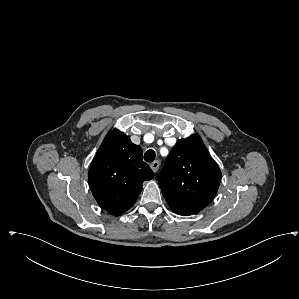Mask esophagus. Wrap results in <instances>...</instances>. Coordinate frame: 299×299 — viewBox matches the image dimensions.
<instances>
[{"label": "esophagus", "mask_w": 299, "mask_h": 299, "mask_svg": "<svg viewBox=\"0 0 299 299\" xmlns=\"http://www.w3.org/2000/svg\"><path fill=\"white\" fill-rule=\"evenodd\" d=\"M159 162L158 161H154L150 164L151 169L153 170V172H157L159 169Z\"/></svg>", "instance_id": "esophagus-1"}]
</instances>
